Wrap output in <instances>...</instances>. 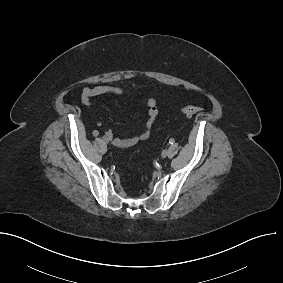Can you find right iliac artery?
Here are the masks:
<instances>
[{
	"mask_svg": "<svg viewBox=\"0 0 283 283\" xmlns=\"http://www.w3.org/2000/svg\"><path fill=\"white\" fill-rule=\"evenodd\" d=\"M92 136L93 137H98L99 136V131L98 130H93L92 131Z\"/></svg>",
	"mask_w": 283,
	"mask_h": 283,
	"instance_id": "82829eb1",
	"label": "right iliac artery"
}]
</instances>
